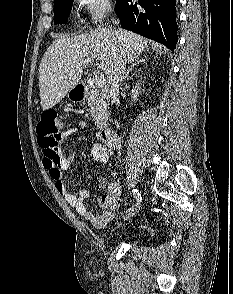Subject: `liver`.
<instances>
[{
    "mask_svg": "<svg viewBox=\"0 0 233 294\" xmlns=\"http://www.w3.org/2000/svg\"><path fill=\"white\" fill-rule=\"evenodd\" d=\"M150 41L124 29L100 28L76 37L56 39L39 66V90L44 111L59 103L80 84L86 59L97 60L111 82L116 60L122 54L130 62L148 48Z\"/></svg>",
    "mask_w": 233,
    "mask_h": 294,
    "instance_id": "6515ba94",
    "label": "liver"
}]
</instances>
